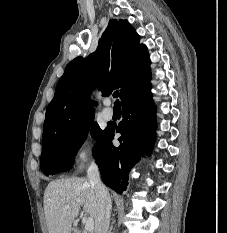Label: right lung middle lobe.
<instances>
[{"mask_svg": "<svg viewBox=\"0 0 227 233\" xmlns=\"http://www.w3.org/2000/svg\"><path fill=\"white\" fill-rule=\"evenodd\" d=\"M93 139L98 140L93 149L97 151L107 129L102 131L96 122L90 121L68 133L42 144L41 167L45 175H53L70 169L78 149L83 144L88 132Z\"/></svg>", "mask_w": 227, "mask_h": 233, "instance_id": "right-lung-middle-lobe-1", "label": "right lung middle lobe"}]
</instances>
